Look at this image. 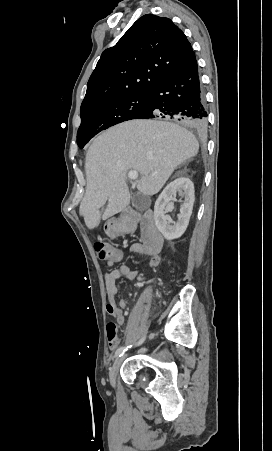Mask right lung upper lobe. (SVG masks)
I'll return each mask as SVG.
<instances>
[{
	"label": "right lung upper lobe",
	"instance_id": "obj_1",
	"mask_svg": "<svg viewBox=\"0 0 272 451\" xmlns=\"http://www.w3.org/2000/svg\"><path fill=\"white\" fill-rule=\"evenodd\" d=\"M193 53L184 33L169 18L142 16L102 53L80 113L108 100L149 94Z\"/></svg>",
	"mask_w": 272,
	"mask_h": 451
}]
</instances>
